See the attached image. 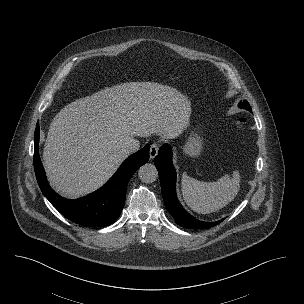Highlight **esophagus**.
Listing matches in <instances>:
<instances>
[{
	"label": "esophagus",
	"mask_w": 304,
	"mask_h": 304,
	"mask_svg": "<svg viewBox=\"0 0 304 304\" xmlns=\"http://www.w3.org/2000/svg\"><path fill=\"white\" fill-rule=\"evenodd\" d=\"M158 150L159 145L157 143L151 144L149 151L150 159H154L156 157V155L158 154Z\"/></svg>",
	"instance_id": "34e87169"
}]
</instances>
